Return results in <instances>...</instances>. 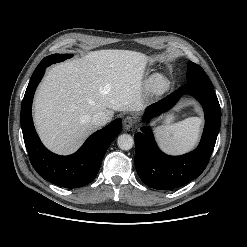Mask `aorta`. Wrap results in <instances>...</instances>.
<instances>
[{
  "instance_id": "aorta-1",
  "label": "aorta",
  "mask_w": 247,
  "mask_h": 247,
  "mask_svg": "<svg viewBox=\"0 0 247 247\" xmlns=\"http://www.w3.org/2000/svg\"><path fill=\"white\" fill-rule=\"evenodd\" d=\"M117 144L122 150H130L134 145V139L129 134H121L117 139Z\"/></svg>"
}]
</instances>
